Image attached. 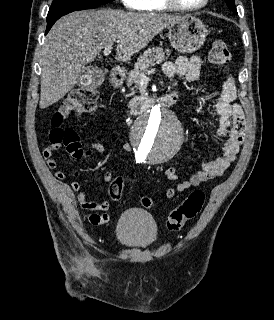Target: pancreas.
Returning <instances> with one entry per match:
<instances>
[{"instance_id":"pancreas-1","label":"pancreas","mask_w":274,"mask_h":320,"mask_svg":"<svg viewBox=\"0 0 274 320\" xmlns=\"http://www.w3.org/2000/svg\"><path fill=\"white\" fill-rule=\"evenodd\" d=\"M171 52L170 50H163V48H148L140 58H138L133 70L129 72V76L127 78V86H129L130 90L134 92L135 88H137V84H139V80L142 76V70H146V68H150L152 64L155 62H163V60H168ZM129 108H135V100H131L128 104Z\"/></svg>"}]
</instances>
